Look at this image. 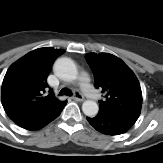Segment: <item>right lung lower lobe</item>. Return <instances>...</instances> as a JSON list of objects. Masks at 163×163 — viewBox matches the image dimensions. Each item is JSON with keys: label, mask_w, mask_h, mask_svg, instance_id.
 <instances>
[{"label": "right lung lower lobe", "mask_w": 163, "mask_h": 163, "mask_svg": "<svg viewBox=\"0 0 163 163\" xmlns=\"http://www.w3.org/2000/svg\"><path fill=\"white\" fill-rule=\"evenodd\" d=\"M64 106H61L55 110L46 112V113H31L23 114L11 118L17 125L29 129V130H38L49 124L55 118H57Z\"/></svg>", "instance_id": "right-lung-lower-lobe-1"}]
</instances>
